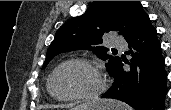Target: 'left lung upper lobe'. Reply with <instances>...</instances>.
Wrapping results in <instances>:
<instances>
[{"label": "left lung upper lobe", "instance_id": "5c2ea615", "mask_svg": "<svg viewBox=\"0 0 171 110\" xmlns=\"http://www.w3.org/2000/svg\"><path fill=\"white\" fill-rule=\"evenodd\" d=\"M147 16L139 1H94L83 15L70 19L58 29L42 69L60 53L91 50L103 60H108L106 68L113 76L121 59L108 55L107 48L100 46L103 34L124 30L122 25H126L128 28L120 34L128 40Z\"/></svg>", "mask_w": 171, "mask_h": 110}]
</instances>
